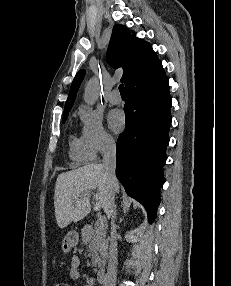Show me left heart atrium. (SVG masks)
Wrapping results in <instances>:
<instances>
[{
	"label": "left heart atrium",
	"instance_id": "left-heart-atrium-1",
	"mask_svg": "<svg viewBox=\"0 0 231 286\" xmlns=\"http://www.w3.org/2000/svg\"><path fill=\"white\" fill-rule=\"evenodd\" d=\"M108 124L112 131L118 133L125 126V116L120 110H112L108 115Z\"/></svg>",
	"mask_w": 231,
	"mask_h": 286
}]
</instances>
